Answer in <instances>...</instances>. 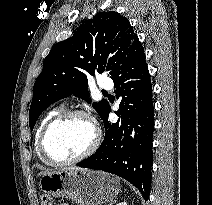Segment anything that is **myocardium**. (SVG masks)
<instances>
[{"label": "myocardium", "mask_w": 212, "mask_h": 205, "mask_svg": "<svg viewBox=\"0 0 212 205\" xmlns=\"http://www.w3.org/2000/svg\"><path fill=\"white\" fill-rule=\"evenodd\" d=\"M73 117H81L87 120L92 128H93V139L90 143V145L86 148L85 151H83L81 154H79L76 157H73L71 159H58L54 157L50 151L48 150L47 144H46V139L47 136L50 132V130L56 126L58 123L67 120L69 118ZM101 141V134L98 126L96 123L93 121V119L87 114L85 111L82 110H66V111H61L54 117H52L43 127L40 136H39V149L41 154L44 156V158L49 161L51 164L54 165H70L77 163L79 161H82L86 159L87 157L91 156L98 148L99 144Z\"/></svg>", "instance_id": "1"}]
</instances>
